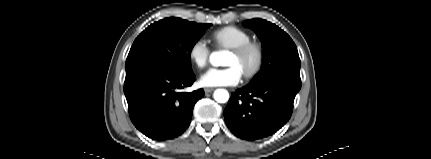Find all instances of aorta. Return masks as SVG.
<instances>
[{
  "instance_id": "762f6f07",
  "label": "aorta",
  "mask_w": 431,
  "mask_h": 159,
  "mask_svg": "<svg viewBox=\"0 0 431 159\" xmlns=\"http://www.w3.org/2000/svg\"><path fill=\"white\" fill-rule=\"evenodd\" d=\"M210 62L213 66L224 65V53L223 52H213L210 55ZM214 99L218 103H225L229 99V93L225 89H217L214 92Z\"/></svg>"
}]
</instances>
